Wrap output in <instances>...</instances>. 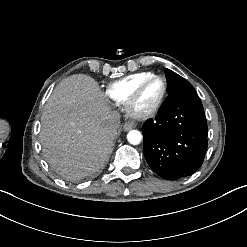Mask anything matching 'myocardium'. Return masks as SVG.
Listing matches in <instances>:
<instances>
[{
	"mask_svg": "<svg viewBox=\"0 0 247 247\" xmlns=\"http://www.w3.org/2000/svg\"><path fill=\"white\" fill-rule=\"evenodd\" d=\"M160 80L163 82L164 85V90H163V94L161 96V98L159 99V101L150 109L147 110H138L136 108V104L141 92V89L143 88V86L149 82L150 80ZM168 91H169V86H168V82L167 79L162 76V75H158V74H153L150 75L144 79H142L140 82H138L132 92L130 93V95L127 97V99L124 102V110L127 112V114H129L131 117L138 119V120H147L149 118H152L153 116H155L158 111L161 109V107L163 106L167 95H168Z\"/></svg>",
	"mask_w": 247,
	"mask_h": 247,
	"instance_id": "myocardium-1",
	"label": "myocardium"
}]
</instances>
